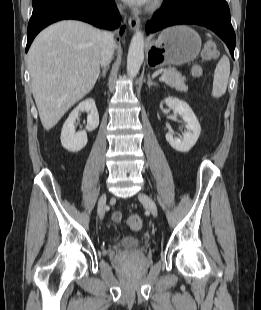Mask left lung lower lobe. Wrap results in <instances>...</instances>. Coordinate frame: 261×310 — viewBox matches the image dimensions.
Masks as SVG:
<instances>
[{"label":"left lung lower lobe","instance_id":"left-lung-lower-lobe-1","mask_svg":"<svg viewBox=\"0 0 261 310\" xmlns=\"http://www.w3.org/2000/svg\"><path fill=\"white\" fill-rule=\"evenodd\" d=\"M177 24H196L214 31L228 46L234 58L235 33L226 0H164L162 7L146 24L147 34Z\"/></svg>","mask_w":261,"mask_h":310}]
</instances>
